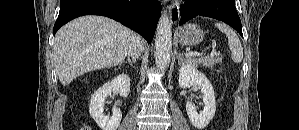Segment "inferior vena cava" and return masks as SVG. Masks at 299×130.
Masks as SVG:
<instances>
[{
    "mask_svg": "<svg viewBox=\"0 0 299 130\" xmlns=\"http://www.w3.org/2000/svg\"><path fill=\"white\" fill-rule=\"evenodd\" d=\"M142 50H143L142 40H141L140 36L134 34L127 54L129 57L131 56L132 59L136 60L141 55Z\"/></svg>",
    "mask_w": 299,
    "mask_h": 130,
    "instance_id": "inferior-vena-cava-1",
    "label": "inferior vena cava"
}]
</instances>
